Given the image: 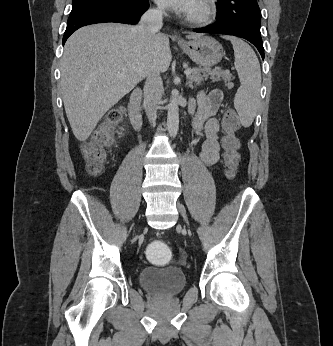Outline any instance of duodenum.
Wrapping results in <instances>:
<instances>
[{"mask_svg":"<svg viewBox=\"0 0 333 346\" xmlns=\"http://www.w3.org/2000/svg\"><path fill=\"white\" fill-rule=\"evenodd\" d=\"M143 91L139 88L132 91L128 102V113L134 129L139 130L142 126L141 101Z\"/></svg>","mask_w":333,"mask_h":346,"instance_id":"duodenum-1","label":"duodenum"}]
</instances>
